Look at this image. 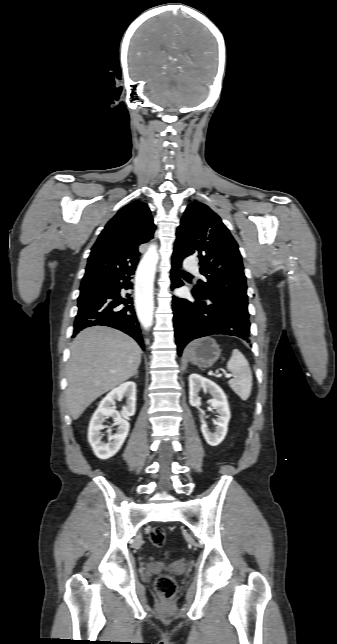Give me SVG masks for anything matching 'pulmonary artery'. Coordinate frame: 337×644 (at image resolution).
<instances>
[{
  "mask_svg": "<svg viewBox=\"0 0 337 644\" xmlns=\"http://www.w3.org/2000/svg\"><path fill=\"white\" fill-rule=\"evenodd\" d=\"M184 268L190 272H198V265L193 258H186Z\"/></svg>",
  "mask_w": 337,
  "mask_h": 644,
  "instance_id": "obj_1",
  "label": "pulmonary artery"
}]
</instances>
